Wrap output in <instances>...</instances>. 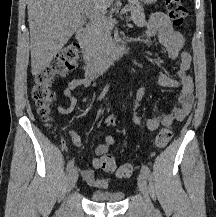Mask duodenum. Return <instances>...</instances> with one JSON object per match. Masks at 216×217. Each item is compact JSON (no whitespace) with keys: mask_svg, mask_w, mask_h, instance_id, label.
Returning <instances> with one entry per match:
<instances>
[{"mask_svg":"<svg viewBox=\"0 0 216 217\" xmlns=\"http://www.w3.org/2000/svg\"><path fill=\"white\" fill-rule=\"evenodd\" d=\"M77 39L82 45H86L87 28L84 27L77 31ZM133 40V38H127L114 44L109 47L103 55L92 51L88 52L85 55L86 74L92 77L108 69L117 59L129 50Z\"/></svg>","mask_w":216,"mask_h":217,"instance_id":"410a0bca","label":"duodenum"}]
</instances>
